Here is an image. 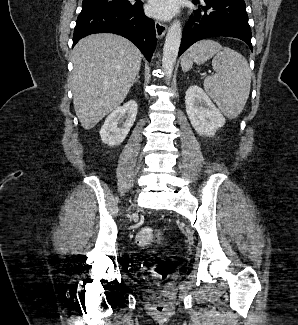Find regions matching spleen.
I'll use <instances>...</instances> for the list:
<instances>
[{
  "label": "spleen",
  "mask_w": 298,
  "mask_h": 325,
  "mask_svg": "<svg viewBox=\"0 0 298 325\" xmlns=\"http://www.w3.org/2000/svg\"><path fill=\"white\" fill-rule=\"evenodd\" d=\"M209 58L215 74L205 78L204 88L227 118H236L250 94V66L240 52L222 46L217 40H198L184 52L182 70L187 72L193 62L203 64Z\"/></svg>",
  "instance_id": "spleen-1"
}]
</instances>
